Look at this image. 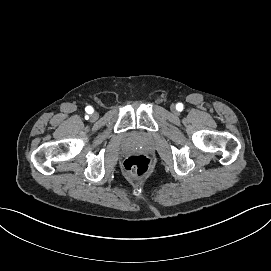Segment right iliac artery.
I'll list each match as a JSON object with an SVG mask.
<instances>
[{
  "label": "right iliac artery",
  "mask_w": 271,
  "mask_h": 271,
  "mask_svg": "<svg viewBox=\"0 0 271 271\" xmlns=\"http://www.w3.org/2000/svg\"><path fill=\"white\" fill-rule=\"evenodd\" d=\"M85 110L88 114H91L93 112V108L91 106H87Z\"/></svg>",
  "instance_id": "1"
}]
</instances>
